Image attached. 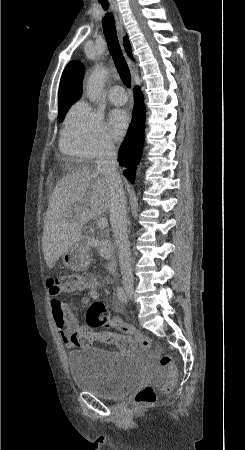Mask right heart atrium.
Listing matches in <instances>:
<instances>
[{
	"label": "right heart atrium",
	"mask_w": 245,
	"mask_h": 450,
	"mask_svg": "<svg viewBox=\"0 0 245 450\" xmlns=\"http://www.w3.org/2000/svg\"><path fill=\"white\" fill-rule=\"evenodd\" d=\"M62 151L74 158L92 160L114 150L102 115L80 101L68 111L61 138Z\"/></svg>",
	"instance_id": "obj_1"
}]
</instances>
